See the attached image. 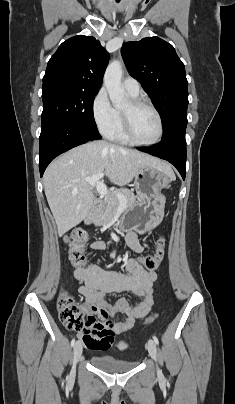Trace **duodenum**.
<instances>
[{"instance_id":"1","label":"duodenum","mask_w":235,"mask_h":404,"mask_svg":"<svg viewBox=\"0 0 235 404\" xmlns=\"http://www.w3.org/2000/svg\"><path fill=\"white\" fill-rule=\"evenodd\" d=\"M103 205H104V200H103V199L99 198V199H97V200L95 201V206H96L97 208H100V207H102ZM92 220H93V216H88V217H87V221H88V222H92Z\"/></svg>"}]
</instances>
